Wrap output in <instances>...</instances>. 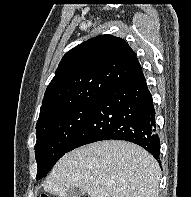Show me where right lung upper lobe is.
Listing matches in <instances>:
<instances>
[{"label":"right lung upper lobe","instance_id":"right-lung-upper-lobe-1","mask_svg":"<svg viewBox=\"0 0 191 197\" xmlns=\"http://www.w3.org/2000/svg\"><path fill=\"white\" fill-rule=\"evenodd\" d=\"M142 72L126 41L112 35L89 39L67 52L48 85L38 121L57 111L98 101L116 83Z\"/></svg>","mask_w":191,"mask_h":197}]
</instances>
